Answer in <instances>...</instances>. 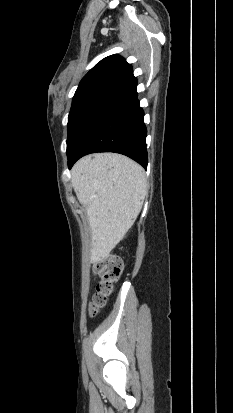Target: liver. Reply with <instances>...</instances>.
I'll use <instances>...</instances> for the list:
<instances>
[{"mask_svg":"<svg viewBox=\"0 0 233 413\" xmlns=\"http://www.w3.org/2000/svg\"><path fill=\"white\" fill-rule=\"evenodd\" d=\"M72 185L91 228V262H101L138 217L147 195L143 168L115 153L81 158L72 168Z\"/></svg>","mask_w":233,"mask_h":413,"instance_id":"6515ba94","label":"liver"}]
</instances>
